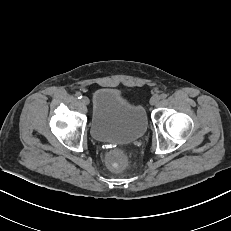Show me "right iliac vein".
I'll return each mask as SVG.
<instances>
[{
    "instance_id": "1",
    "label": "right iliac vein",
    "mask_w": 231,
    "mask_h": 231,
    "mask_svg": "<svg viewBox=\"0 0 231 231\" xmlns=\"http://www.w3.org/2000/svg\"><path fill=\"white\" fill-rule=\"evenodd\" d=\"M82 103L83 104H85V105H88L89 103H90V100H89V98L88 97H86V96H84L83 98H82Z\"/></svg>"
}]
</instances>
